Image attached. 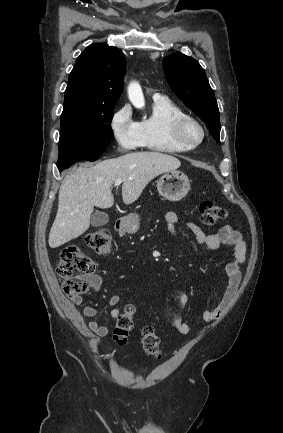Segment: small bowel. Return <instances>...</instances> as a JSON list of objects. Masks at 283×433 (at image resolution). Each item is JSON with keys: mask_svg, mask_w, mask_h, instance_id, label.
<instances>
[{"mask_svg": "<svg viewBox=\"0 0 283 433\" xmlns=\"http://www.w3.org/2000/svg\"><path fill=\"white\" fill-rule=\"evenodd\" d=\"M165 223L168 231L175 236L177 234L176 225L178 223V216L174 212H167L165 214ZM188 228L194 234L197 242L210 250H216L222 245L232 246L234 249L233 260L226 266V290L220 303L203 313L204 322H213L220 319L226 311L231 307L235 300L237 290L241 280V265L245 261L246 256V243L240 232L234 230L231 226H223L214 234L205 233L199 226L194 223H187ZM92 289L97 292L100 289L101 282L98 277H92L90 280ZM179 300L182 305L188 302L186 293L179 295ZM121 298L115 294L109 298V305L112 307L110 315L116 318L120 315L121 310L118 307ZM83 303L81 296L71 297L70 301L66 303V312L69 318L75 322L82 324L83 316L88 318H95L99 314V310L92 306H85L82 313L78 310ZM173 327L181 334H188L191 330L189 324L183 321L180 316H175L172 321ZM87 327L99 337H106L110 329L107 326L101 325L96 320H91Z\"/></svg>", "mask_w": 283, "mask_h": 433, "instance_id": "1", "label": "small bowel"}]
</instances>
